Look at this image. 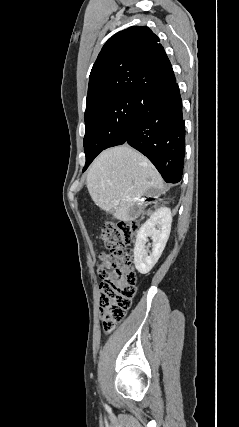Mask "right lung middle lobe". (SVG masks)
<instances>
[{
	"label": "right lung middle lobe",
	"instance_id": "dd1d6c3e",
	"mask_svg": "<svg viewBox=\"0 0 239 427\" xmlns=\"http://www.w3.org/2000/svg\"><path fill=\"white\" fill-rule=\"evenodd\" d=\"M140 96L105 99L86 107L84 149L87 169L104 149L120 145L128 135L132 115Z\"/></svg>",
	"mask_w": 239,
	"mask_h": 427
}]
</instances>
